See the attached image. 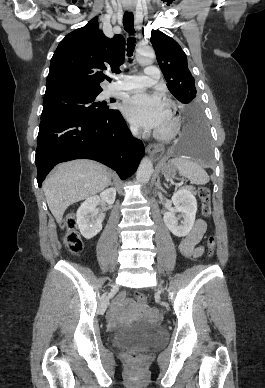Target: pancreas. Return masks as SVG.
I'll list each match as a JSON object with an SVG mask.
<instances>
[{"instance_id": "1", "label": "pancreas", "mask_w": 265, "mask_h": 388, "mask_svg": "<svg viewBox=\"0 0 265 388\" xmlns=\"http://www.w3.org/2000/svg\"><path fill=\"white\" fill-rule=\"evenodd\" d=\"M188 190H191V192H193L194 188H188Z\"/></svg>"}]
</instances>
